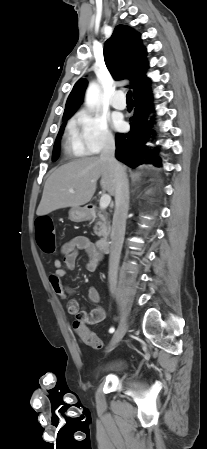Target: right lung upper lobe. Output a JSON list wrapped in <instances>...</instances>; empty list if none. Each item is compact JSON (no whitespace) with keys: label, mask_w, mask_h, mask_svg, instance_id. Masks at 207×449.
<instances>
[{"label":"right lung upper lobe","mask_w":207,"mask_h":449,"mask_svg":"<svg viewBox=\"0 0 207 449\" xmlns=\"http://www.w3.org/2000/svg\"><path fill=\"white\" fill-rule=\"evenodd\" d=\"M146 49L141 44L140 35L124 25H118L104 46L106 66L116 80L129 79V87L133 95L149 87L146 76L148 62L145 59ZM87 81L79 79L65 105L63 120L70 118L81 104Z\"/></svg>","instance_id":"obj_1"}]
</instances>
